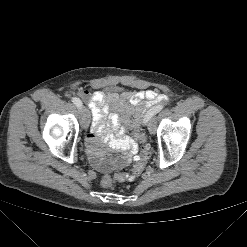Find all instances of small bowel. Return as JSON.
<instances>
[{
	"label": "small bowel",
	"mask_w": 247,
	"mask_h": 247,
	"mask_svg": "<svg viewBox=\"0 0 247 247\" xmlns=\"http://www.w3.org/2000/svg\"><path fill=\"white\" fill-rule=\"evenodd\" d=\"M78 95L88 104L93 117L92 130L86 138L87 152L94 167L102 172L121 169L136 159L138 144L127 131L141 125L151 106L168 101L167 96L154 90L93 93L80 90ZM106 121L109 130L105 129ZM104 145L120 151L121 155L106 159Z\"/></svg>",
	"instance_id": "c3829d8e"
}]
</instances>
